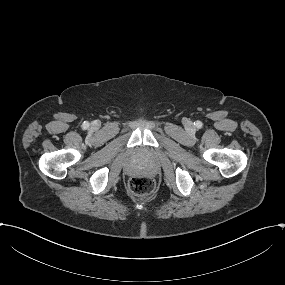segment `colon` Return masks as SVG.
<instances>
[{
    "mask_svg": "<svg viewBox=\"0 0 285 285\" xmlns=\"http://www.w3.org/2000/svg\"><path fill=\"white\" fill-rule=\"evenodd\" d=\"M129 188L135 195H150L155 189V181L149 176L136 175L129 180Z\"/></svg>",
    "mask_w": 285,
    "mask_h": 285,
    "instance_id": "colon-1",
    "label": "colon"
}]
</instances>
